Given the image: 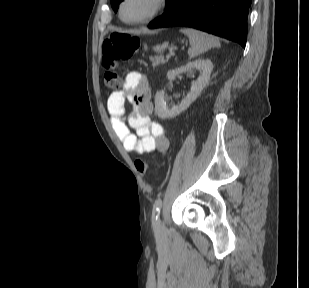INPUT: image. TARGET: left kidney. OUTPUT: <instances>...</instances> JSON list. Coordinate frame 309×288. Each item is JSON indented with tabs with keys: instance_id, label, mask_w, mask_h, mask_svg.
<instances>
[{
	"instance_id": "1",
	"label": "left kidney",
	"mask_w": 309,
	"mask_h": 288,
	"mask_svg": "<svg viewBox=\"0 0 309 288\" xmlns=\"http://www.w3.org/2000/svg\"><path fill=\"white\" fill-rule=\"evenodd\" d=\"M197 69L201 71V75L191 85L190 91L186 97H184L179 105L168 108L164 100V91L161 90L156 93L155 96V111L160 118H172L179 115L182 111L186 110L193 101L199 96L203 88L207 85L210 74L213 70V64L209 59H197L192 62H188L186 65L169 70L167 72L168 80H173L178 74H181L188 70Z\"/></svg>"
}]
</instances>
